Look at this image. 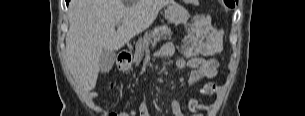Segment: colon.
Masks as SVG:
<instances>
[{
	"instance_id": "5ec220e1",
	"label": "colon",
	"mask_w": 305,
	"mask_h": 116,
	"mask_svg": "<svg viewBox=\"0 0 305 116\" xmlns=\"http://www.w3.org/2000/svg\"><path fill=\"white\" fill-rule=\"evenodd\" d=\"M222 5L226 8L230 7L228 0H222ZM108 116H135V112L132 110H124L119 112H112Z\"/></svg>"
}]
</instances>
